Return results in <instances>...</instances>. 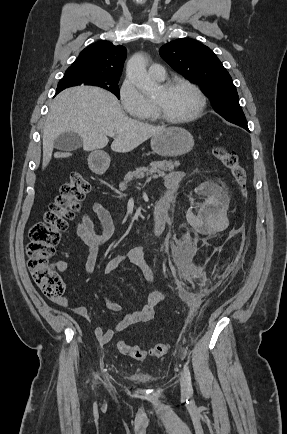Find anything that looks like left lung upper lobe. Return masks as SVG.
<instances>
[{
    "instance_id": "left-lung-upper-lobe-1",
    "label": "left lung upper lobe",
    "mask_w": 287,
    "mask_h": 434,
    "mask_svg": "<svg viewBox=\"0 0 287 434\" xmlns=\"http://www.w3.org/2000/svg\"><path fill=\"white\" fill-rule=\"evenodd\" d=\"M160 55L178 73L199 84L223 118L246 119L231 76L210 48L182 38L163 45Z\"/></svg>"
}]
</instances>
